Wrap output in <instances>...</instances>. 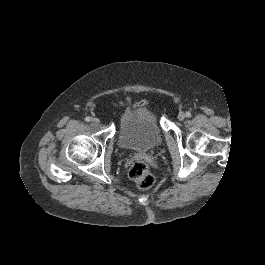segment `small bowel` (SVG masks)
<instances>
[{"label": "small bowel", "mask_w": 265, "mask_h": 265, "mask_svg": "<svg viewBox=\"0 0 265 265\" xmlns=\"http://www.w3.org/2000/svg\"><path fill=\"white\" fill-rule=\"evenodd\" d=\"M147 104L148 103L145 100L130 101V102H126V103L121 102V101L117 102L118 106H126V107H130L134 110H143Z\"/></svg>", "instance_id": "small-bowel-1"}]
</instances>
